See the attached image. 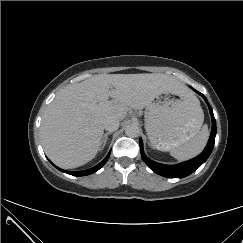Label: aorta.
<instances>
[{"label": "aorta", "mask_w": 243, "mask_h": 243, "mask_svg": "<svg viewBox=\"0 0 243 243\" xmlns=\"http://www.w3.org/2000/svg\"><path fill=\"white\" fill-rule=\"evenodd\" d=\"M140 133V129L136 124H130L125 129V134L129 137H137Z\"/></svg>", "instance_id": "762f6f07"}]
</instances>
